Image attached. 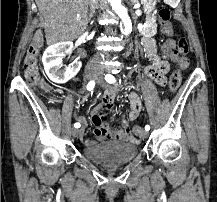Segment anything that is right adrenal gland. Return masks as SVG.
<instances>
[{"mask_svg":"<svg viewBox=\"0 0 217 202\" xmlns=\"http://www.w3.org/2000/svg\"><path fill=\"white\" fill-rule=\"evenodd\" d=\"M94 14H95V12H94V10H92V12H90V14H89V20H91V18H93Z\"/></svg>","mask_w":217,"mask_h":202,"instance_id":"1","label":"right adrenal gland"}]
</instances>
